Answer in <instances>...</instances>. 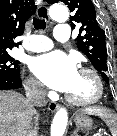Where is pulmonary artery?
Returning a JSON list of instances; mask_svg holds the SVG:
<instances>
[{
	"label": "pulmonary artery",
	"mask_w": 117,
	"mask_h": 136,
	"mask_svg": "<svg viewBox=\"0 0 117 136\" xmlns=\"http://www.w3.org/2000/svg\"><path fill=\"white\" fill-rule=\"evenodd\" d=\"M54 38L57 41L65 42L69 39V29L64 24H58L54 31ZM53 47V41L46 36H33L28 48L33 52H43Z\"/></svg>",
	"instance_id": "obj_1"
}]
</instances>
